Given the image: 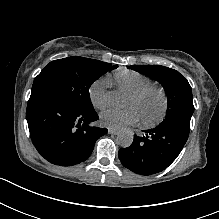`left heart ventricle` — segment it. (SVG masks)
Segmentation results:
<instances>
[{
	"label": "left heart ventricle",
	"mask_w": 219,
	"mask_h": 219,
	"mask_svg": "<svg viewBox=\"0 0 219 219\" xmlns=\"http://www.w3.org/2000/svg\"><path fill=\"white\" fill-rule=\"evenodd\" d=\"M127 106L135 107L140 116L146 120L156 119L162 110V99L158 93H147L141 98L129 97Z\"/></svg>",
	"instance_id": "left-heart-ventricle-1"
}]
</instances>
